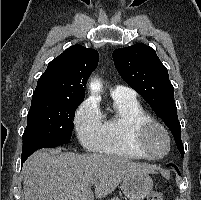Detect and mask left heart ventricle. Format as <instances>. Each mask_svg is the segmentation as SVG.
Returning <instances> with one entry per match:
<instances>
[{
	"label": "left heart ventricle",
	"mask_w": 201,
	"mask_h": 200,
	"mask_svg": "<svg viewBox=\"0 0 201 200\" xmlns=\"http://www.w3.org/2000/svg\"><path fill=\"white\" fill-rule=\"evenodd\" d=\"M145 145L150 155L160 156L167 150V140L164 133L157 127H151L145 134Z\"/></svg>",
	"instance_id": "obj_1"
}]
</instances>
